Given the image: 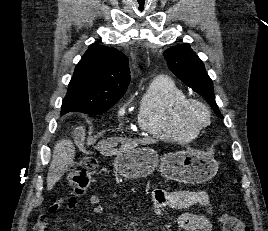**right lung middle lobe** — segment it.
<instances>
[{
    "label": "right lung middle lobe",
    "instance_id": "obj_1",
    "mask_svg": "<svg viewBox=\"0 0 268 231\" xmlns=\"http://www.w3.org/2000/svg\"><path fill=\"white\" fill-rule=\"evenodd\" d=\"M118 100L119 99L105 101L96 105H82L73 102L62 103L61 115L70 111H77L85 114H102L109 110V108L112 107Z\"/></svg>",
    "mask_w": 268,
    "mask_h": 231
}]
</instances>
